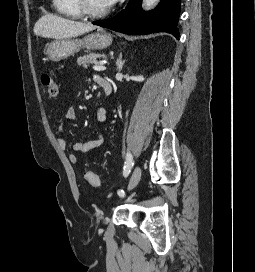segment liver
Wrapping results in <instances>:
<instances>
[{"mask_svg": "<svg viewBox=\"0 0 255 272\" xmlns=\"http://www.w3.org/2000/svg\"><path fill=\"white\" fill-rule=\"evenodd\" d=\"M91 23L77 22L47 13L34 26V34L56 40L72 38L96 29Z\"/></svg>", "mask_w": 255, "mask_h": 272, "instance_id": "1", "label": "liver"}]
</instances>
